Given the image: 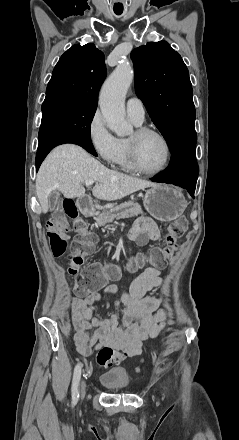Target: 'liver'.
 <instances>
[{"instance_id": "6515ba94", "label": "liver", "mask_w": 239, "mask_h": 440, "mask_svg": "<svg viewBox=\"0 0 239 440\" xmlns=\"http://www.w3.org/2000/svg\"><path fill=\"white\" fill-rule=\"evenodd\" d=\"M86 180L97 182L92 194L98 200L107 202L121 200L138 190L159 186L147 180L108 170L83 148L64 144L48 154L36 176V194L43 214L48 212V196L51 192L59 190L64 198H83L85 188L82 184Z\"/></svg>"}]
</instances>
